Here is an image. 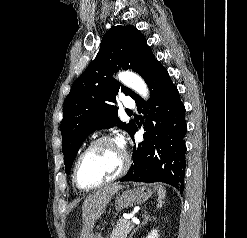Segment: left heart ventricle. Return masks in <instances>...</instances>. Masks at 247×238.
<instances>
[{"label":"left heart ventricle","instance_id":"b2bd125f","mask_svg":"<svg viewBox=\"0 0 247 238\" xmlns=\"http://www.w3.org/2000/svg\"><path fill=\"white\" fill-rule=\"evenodd\" d=\"M122 164L121 147L116 143H103L82 160L79 179L86 186L97 184L118 173Z\"/></svg>","mask_w":247,"mask_h":238}]
</instances>
